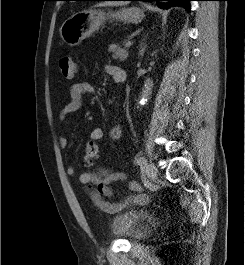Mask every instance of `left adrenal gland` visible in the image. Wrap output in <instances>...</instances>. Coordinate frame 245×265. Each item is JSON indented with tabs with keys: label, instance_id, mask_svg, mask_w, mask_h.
Listing matches in <instances>:
<instances>
[{
	"label": "left adrenal gland",
	"instance_id": "left-adrenal-gland-1",
	"mask_svg": "<svg viewBox=\"0 0 245 265\" xmlns=\"http://www.w3.org/2000/svg\"><path fill=\"white\" fill-rule=\"evenodd\" d=\"M144 41H145V39H144ZM146 47L147 46L145 45V43H142L141 44V50H140V56L141 57L144 55V52H145Z\"/></svg>",
	"mask_w": 245,
	"mask_h": 265
}]
</instances>
